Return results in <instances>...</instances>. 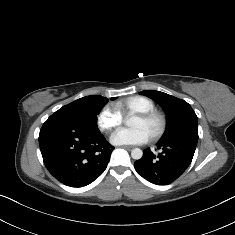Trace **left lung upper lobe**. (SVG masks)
Returning a JSON list of instances; mask_svg holds the SVG:
<instances>
[{"mask_svg": "<svg viewBox=\"0 0 235 235\" xmlns=\"http://www.w3.org/2000/svg\"><path fill=\"white\" fill-rule=\"evenodd\" d=\"M140 94L157 102L166 114V129L159 142L183 141L197 145V116L190 104L160 91L146 90Z\"/></svg>", "mask_w": 235, "mask_h": 235, "instance_id": "left-lung-upper-lobe-1", "label": "left lung upper lobe"}]
</instances>
